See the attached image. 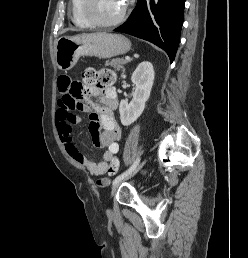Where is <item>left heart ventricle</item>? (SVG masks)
<instances>
[{"label":"left heart ventricle","instance_id":"1","mask_svg":"<svg viewBox=\"0 0 248 258\" xmlns=\"http://www.w3.org/2000/svg\"><path fill=\"white\" fill-rule=\"evenodd\" d=\"M124 6V0H91L90 14L99 21H110L119 16Z\"/></svg>","mask_w":248,"mask_h":258}]
</instances>
